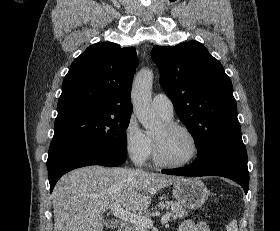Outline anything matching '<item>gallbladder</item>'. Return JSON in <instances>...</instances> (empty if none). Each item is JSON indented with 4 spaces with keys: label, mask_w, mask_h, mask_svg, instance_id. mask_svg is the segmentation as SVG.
Wrapping results in <instances>:
<instances>
[{
    "label": "gallbladder",
    "mask_w": 280,
    "mask_h": 231,
    "mask_svg": "<svg viewBox=\"0 0 280 231\" xmlns=\"http://www.w3.org/2000/svg\"><path fill=\"white\" fill-rule=\"evenodd\" d=\"M106 227H111V229H114V227H117L118 223L117 221H113V219H110V221H105Z\"/></svg>",
    "instance_id": "gallbladder-1"
}]
</instances>
